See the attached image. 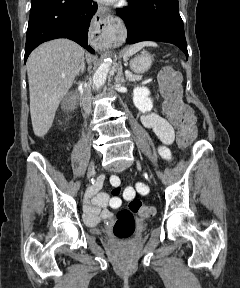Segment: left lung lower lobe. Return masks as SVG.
Wrapping results in <instances>:
<instances>
[{
	"instance_id": "0a47b994",
	"label": "left lung lower lobe",
	"mask_w": 240,
	"mask_h": 288,
	"mask_svg": "<svg viewBox=\"0 0 240 288\" xmlns=\"http://www.w3.org/2000/svg\"><path fill=\"white\" fill-rule=\"evenodd\" d=\"M130 5L118 9L128 35L126 42L133 44L153 40L178 46L188 58L183 21L178 0H129Z\"/></svg>"
}]
</instances>
